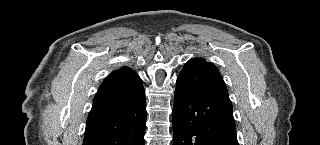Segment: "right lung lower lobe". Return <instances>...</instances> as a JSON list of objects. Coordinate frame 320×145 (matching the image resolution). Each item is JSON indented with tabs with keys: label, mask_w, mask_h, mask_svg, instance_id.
Wrapping results in <instances>:
<instances>
[{
	"label": "right lung lower lobe",
	"mask_w": 320,
	"mask_h": 145,
	"mask_svg": "<svg viewBox=\"0 0 320 145\" xmlns=\"http://www.w3.org/2000/svg\"><path fill=\"white\" fill-rule=\"evenodd\" d=\"M107 91L113 99L89 113L83 145H145L146 100L140 77Z\"/></svg>",
	"instance_id": "obj_1"
}]
</instances>
